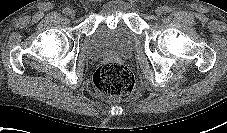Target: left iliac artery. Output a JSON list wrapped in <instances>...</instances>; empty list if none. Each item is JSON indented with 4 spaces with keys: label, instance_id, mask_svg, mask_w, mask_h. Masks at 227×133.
<instances>
[{
    "label": "left iliac artery",
    "instance_id": "obj_1",
    "mask_svg": "<svg viewBox=\"0 0 227 133\" xmlns=\"http://www.w3.org/2000/svg\"><path fill=\"white\" fill-rule=\"evenodd\" d=\"M164 11H165V13H168V12L171 11V9H170L169 7H167V6H165V7H164Z\"/></svg>",
    "mask_w": 227,
    "mask_h": 133
}]
</instances>
